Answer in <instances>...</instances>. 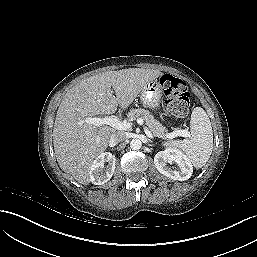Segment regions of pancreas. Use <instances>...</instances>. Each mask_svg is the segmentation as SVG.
I'll list each match as a JSON object with an SVG mask.
<instances>
[{"instance_id": "pancreas-1", "label": "pancreas", "mask_w": 257, "mask_h": 257, "mask_svg": "<svg viewBox=\"0 0 257 257\" xmlns=\"http://www.w3.org/2000/svg\"><path fill=\"white\" fill-rule=\"evenodd\" d=\"M127 117L129 121H133L141 117L145 121L150 132L153 133V136L159 137L162 139L168 138L166 129L159 123V121L154 119V116L148 110L132 109L130 110V112H128Z\"/></svg>"}]
</instances>
